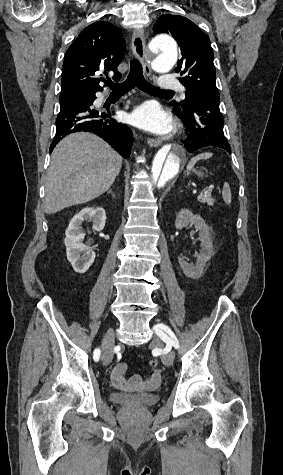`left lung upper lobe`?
Here are the masks:
<instances>
[{
	"mask_svg": "<svg viewBox=\"0 0 283 475\" xmlns=\"http://www.w3.org/2000/svg\"><path fill=\"white\" fill-rule=\"evenodd\" d=\"M153 31L171 34L181 49L182 58L175 71L183 75L179 80L186 88V98L181 102L172 101L173 107L186 110L196 94L219 96L210 40L196 24L179 15H163L155 22Z\"/></svg>",
	"mask_w": 283,
	"mask_h": 475,
	"instance_id": "5c2ea615",
	"label": "left lung upper lobe"
}]
</instances>
